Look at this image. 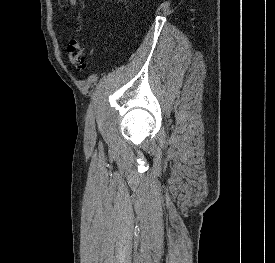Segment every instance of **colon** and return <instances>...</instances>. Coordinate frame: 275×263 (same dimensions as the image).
Returning <instances> with one entry per match:
<instances>
[{"instance_id": "colon-1", "label": "colon", "mask_w": 275, "mask_h": 263, "mask_svg": "<svg viewBox=\"0 0 275 263\" xmlns=\"http://www.w3.org/2000/svg\"><path fill=\"white\" fill-rule=\"evenodd\" d=\"M84 50V45L79 39L72 37L69 40L67 46V60L69 64L78 71H82L86 68Z\"/></svg>"}]
</instances>
